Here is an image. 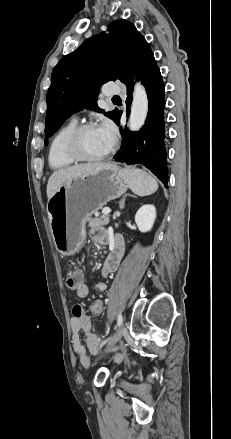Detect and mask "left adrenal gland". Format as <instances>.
Here are the masks:
<instances>
[{
  "mask_svg": "<svg viewBox=\"0 0 231 439\" xmlns=\"http://www.w3.org/2000/svg\"><path fill=\"white\" fill-rule=\"evenodd\" d=\"M125 200H126V196H124V197L122 198V201H121V203H120V205H119V207H120L121 210H122V209L124 208V206H125Z\"/></svg>",
  "mask_w": 231,
  "mask_h": 439,
  "instance_id": "left-adrenal-gland-1",
  "label": "left adrenal gland"
}]
</instances>
